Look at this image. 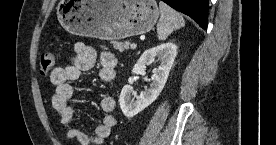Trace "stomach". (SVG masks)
Returning a JSON list of instances; mask_svg holds the SVG:
<instances>
[{
	"label": "stomach",
	"instance_id": "1",
	"mask_svg": "<svg viewBox=\"0 0 276 145\" xmlns=\"http://www.w3.org/2000/svg\"><path fill=\"white\" fill-rule=\"evenodd\" d=\"M155 0H62L60 24L71 34L120 40L150 31L159 17Z\"/></svg>",
	"mask_w": 276,
	"mask_h": 145
}]
</instances>
